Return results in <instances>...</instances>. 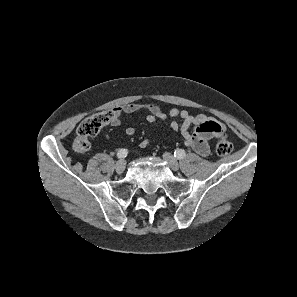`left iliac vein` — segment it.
Returning <instances> with one entry per match:
<instances>
[{"label": "left iliac vein", "instance_id": "1", "mask_svg": "<svg viewBox=\"0 0 297 297\" xmlns=\"http://www.w3.org/2000/svg\"><path fill=\"white\" fill-rule=\"evenodd\" d=\"M163 159L167 162L168 166L172 169L177 171L179 169V163L176 158L170 153H164Z\"/></svg>", "mask_w": 297, "mask_h": 297}]
</instances>
